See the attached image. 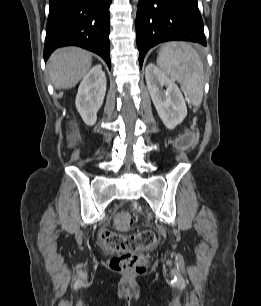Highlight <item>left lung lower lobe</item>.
Here are the masks:
<instances>
[{"label":"left lung lower lobe","instance_id":"left-lung-lower-lobe-1","mask_svg":"<svg viewBox=\"0 0 261 306\" xmlns=\"http://www.w3.org/2000/svg\"><path fill=\"white\" fill-rule=\"evenodd\" d=\"M136 34L140 67L145 53L162 42L185 40L206 46L197 0H140Z\"/></svg>","mask_w":261,"mask_h":306}]
</instances>
